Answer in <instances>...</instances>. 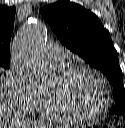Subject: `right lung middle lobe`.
Returning <instances> with one entry per match:
<instances>
[{
    "instance_id": "right-lung-middle-lobe-1",
    "label": "right lung middle lobe",
    "mask_w": 125,
    "mask_h": 128,
    "mask_svg": "<svg viewBox=\"0 0 125 128\" xmlns=\"http://www.w3.org/2000/svg\"><path fill=\"white\" fill-rule=\"evenodd\" d=\"M10 67V62L9 60H0V68H9Z\"/></svg>"
}]
</instances>
